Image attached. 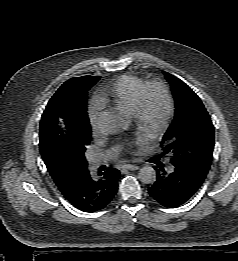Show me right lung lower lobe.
I'll return each instance as SVG.
<instances>
[{
	"instance_id": "98d812e1",
	"label": "right lung lower lobe",
	"mask_w": 238,
	"mask_h": 261,
	"mask_svg": "<svg viewBox=\"0 0 238 261\" xmlns=\"http://www.w3.org/2000/svg\"><path fill=\"white\" fill-rule=\"evenodd\" d=\"M120 172L109 168L92 176L89 171L64 197L77 209L95 212L105 208L118 190Z\"/></svg>"
}]
</instances>
